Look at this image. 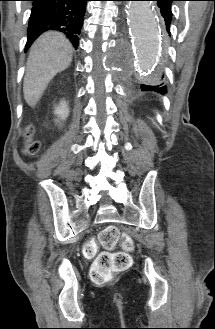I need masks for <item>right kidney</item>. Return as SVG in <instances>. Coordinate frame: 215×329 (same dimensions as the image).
<instances>
[{
  "label": "right kidney",
  "instance_id": "1",
  "mask_svg": "<svg viewBox=\"0 0 215 329\" xmlns=\"http://www.w3.org/2000/svg\"><path fill=\"white\" fill-rule=\"evenodd\" d=\"M54 114L58 117V120H56L57 123H60L59 119L64 121L69 115L68 102L62 100L60 104L55 107Z\"/></svg>",
  "mask_w": 215,
  "mask_h": 329
}]
</instances>
